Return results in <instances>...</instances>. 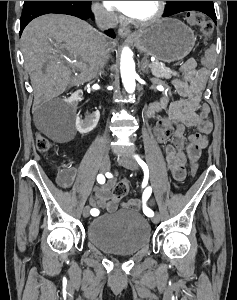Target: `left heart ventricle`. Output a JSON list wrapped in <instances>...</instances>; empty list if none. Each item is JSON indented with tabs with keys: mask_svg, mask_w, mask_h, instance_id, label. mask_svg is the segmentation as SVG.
I'll use <instances>...</instances> for the list:
<instances>
[{
	"mask_svg": "<svg viewBox=\"0 0 237 300\" xmlns=\"http://www.w3.org/2000/svg\"><path fill=\"white\" fill-rule=\"evenodd\" d=\"M155 11V1H139L138 6L130 16L133 19H146Z\"/></svg>",
	"mask_w": 237,
	"mask_h": 300,
	"instance_id": "b2bd125f",
	"label": "left heart ventricle"
}]
</instances>
